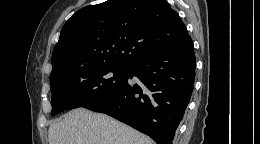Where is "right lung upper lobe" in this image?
I'll return each instance as SVG.
<instances>
[{"mask_svg":"<svg viewBox=\"0 0 260 144\" xmlns=\"http://www.w3.org/2000/svg\"><path fill=\"white\" fill-rule=\"evenodd\" d=\"M188 36L165 0H108L87 6L64 24L52 55L51 77L98 65L129 67Z\"/></svg>","mask_w":260,"mask_h":144,"instance_id":"obj_1","label":"right lung upper lobe"}]
</instances>
